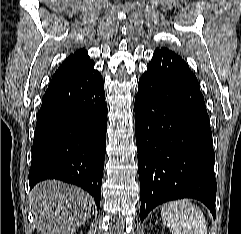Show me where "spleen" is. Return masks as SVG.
Wrapping results in <instances>:
<instances>
[{"label": "spleen", "instance_id": "3e777b00", "mask_svg": "<svg viewBox=\"0 0 241 234\" xmlns=\"http://www.w3.org/2000/svg\"><path fill=\"white\" fill-rule=\"evenodd\" d=\"M161 217L172 234H207L204 214L187 199L164 204Z\"/></svg>", "mask_w": 241, "mask_h": 234}]
</instances>
